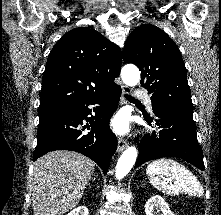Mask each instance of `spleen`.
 Segmentation results:
<instances>
[{
    "instance_id": "spleen-1",
    "label": "spleen",
    "mask_w": 221,
    "mask_h": 215,
    "mask_svg": "<svg viewBox=\"0 0 221 215\" xmlns=\"http://www.w3.org/2000/svg\"><path fill=\"white\" fill-rule=\"evenodd\" d=\"M146 173L152 186L164 194L178 195L185 192L191 196L203 195L204 190L197 177L175 160L167 158L155 160L147 166ZM165 177L172 178L176 184H168Z\"/></svg>"
}]
</instances>
